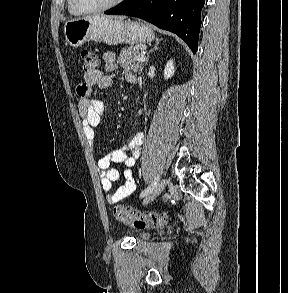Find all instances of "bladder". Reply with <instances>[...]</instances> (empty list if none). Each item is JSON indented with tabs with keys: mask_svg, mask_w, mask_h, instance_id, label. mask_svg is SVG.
<instances>
[{
	"mask_svg": "<svg viewBox=\"0 0 288 293\" xmlns=\"http://www.w3.org/2000/svg\"><path fill=\"white\" fill-rule=\"evenodd\" d=\"M150 236H151V233L148 231H140L136 234V238L138 240H146V239L150 238Z\"/></svg>",
	"mask_w": 288,
	"mask_h": 293,
	"instance_id": "31cf9c89",
	"label": "bladder"
}]
</instances>
